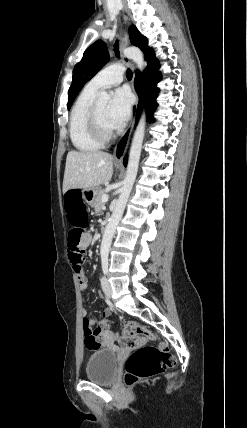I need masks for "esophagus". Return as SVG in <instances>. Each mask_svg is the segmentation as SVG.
<instances>
[{
    "mask_svg": "<svg viewBox=\"0 0 247 428\" xmlns=\"http://www.w3.org/2000/svg\"><path fill=\"white\" fill-rule=\"evenodd\" d=\"M121 57H122V60L125 63L129 64L132 67V69H133V65L131 64V62L129 61V59L125 55H123V54H121ZM136 107H137V102H136V105L134 107V111H133V115H132L131 121H130V123H129L127 129H126V131L124 132V134L118 140V142H117V144L115 146V149H114V162L117 165H122L123 164V158H124V156L126 154V150H127L128 144H129L130 136H131V133H132V130H133V127H134Z\"/></svg>",
    "mask_w": 247,
    "mask_h": 428,
    "instance_id": "esophagus-1",
    "label": "esophagus"
}]
</instances>
